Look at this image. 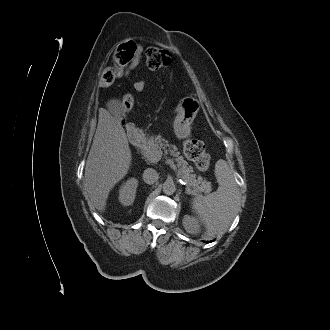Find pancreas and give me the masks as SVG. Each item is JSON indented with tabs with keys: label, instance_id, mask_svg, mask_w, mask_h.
I'll list each match as a JSON object with an SVG mask.
<instances>
[{
	"label": "pancreas",
	"instance_id": "cf45deb5",
	"mask_svg": "<svg viewBox=\"0 0 330 330\" xmlns=\"http://www.w3.org/2000/svg\"><path fill=\"white\" fill-rule=\"evenodd\" d=\"M163 152H165V154H170L177 162L179 168L177 176L186 182L187 187L193 189V191L197 193H209L212 190L211 183L201 176L192 174V167L188 166V162L180 156L177 147L168 144V141L161 136H151L142 144V154L151 163H155L152 162L153 155L159 154L162 156Z\"/></svg>",
	"mask_w": 330,
	"mask_h": 330
}]
</instances>
